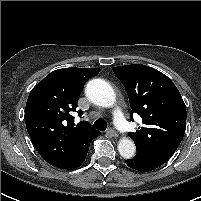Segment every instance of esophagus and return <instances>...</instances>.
Returning <instances> with one entry per match:
<instances>
[{
	"label": "esophagus",
	"instance_id": "obj_1",
	"mask_svg": "<svg viewBox=\"0 0 201 201\" xmlns=\"http://www.w3.org/2000/svg\"><path fill=\"white\" fill-rule=\"evenodd\" d=\"M106 134H107L108 136H110V137H117V136H118L117 133H116V131H115L114 129H112V128H109V129L106 131Z\"/></svg>",
	"mask_w": 201,
	"mask_h": 201
}]
</instances>
